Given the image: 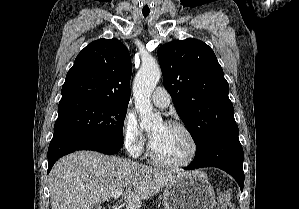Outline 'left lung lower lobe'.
Wrapping results in <instances>:
<instances>
[{"instance_id":"obj_1","label":"left lung lower lobe","mask_w":299,"mask_h":209,"mask_svg":"<svg viewBox=\"0 0 299 209\" xmlns=\"http://www.w3.org/2000/svg\"><path fill=\"white\" fill-rule=\"evenodd\" d=\"M238 126L231 127L216 136L206 149L191 163L186 170L201 167H217L229 173L239 184L244 185L243 148L238 138Z\"/></svg>"}]
</instances>
